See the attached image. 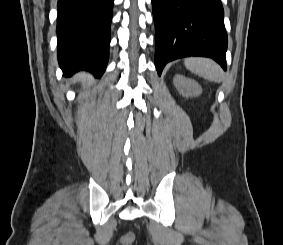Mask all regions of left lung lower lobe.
<instances>
[{"instance_id": "1", "label": "left lung lower lobe", "mask_w": 283, "mask_h": 245, "mask_svg": "<svg viewBox=\"0 0 283 245\" xmlns=\"http://www.w3.org/2000/svg\"><path fill=\"white\" fill-rule=\"evenodd\" d=\"M155 66L187 56L214 59L226 70L227 34L221 0H152Z\"/></svg>"}]
</instances>
